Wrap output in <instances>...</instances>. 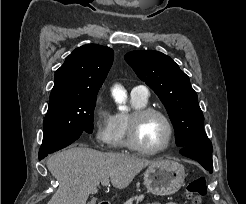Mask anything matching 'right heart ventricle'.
<instances>
[{
	"label": "right heart ventricle",
	"instance_id": "1",
	"mask_svg": "<svg viewBox=\"0 0 246 204\" xmlns=\"http://www.w3.org/2000/svg\"><path fill=\"white\" fill-rule=\"evenodd\" d=\"M147 99L143 100L136 97H131V103L134 110L141 109L147 106ZM129 115L127 113H117L114 115L112 133L109 145L113 148H123L127 146L126 134Z\"/></svg>",
	"mask_w": 246,
	"mask_h": 204
}]
</instances>
